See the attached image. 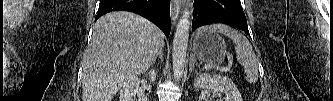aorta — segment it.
<instances>
[{"instance_id":"obj_1","label":"aorta","mask_w":333,"mask_h":101,"mask_svg":"<svg viewBox=\"0 0 333 101\" xmlns=\"http://www.w3.org/2000/svg\"><path fill=\"white\" fill-rule=\"evenodd\" d=\"M189 30V12L185 10L177 25L172 47L173 71L177 80L181 79L184 72Z\"/></svg>"}]
</instances>
